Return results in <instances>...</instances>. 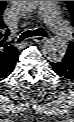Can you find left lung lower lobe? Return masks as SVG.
<instances>
[{
	"label": "left lung lower lobe",
	"mask_w": 74,
	"mask_h": 122,
	"mask_svg": "<svg viewBox=\"0 0 74 122\" xmlns=\"http://www.w3.org/2000/svg\"><path fill=\"white\" fill-rule=\"evenodd\" d=\"M54 72L65 78V79H70L74 80V50L68 48L66 51V54L64 58L55 63H51Z\"/></svg>",
	"instance_id": "obj_1"
}]
</instances>
